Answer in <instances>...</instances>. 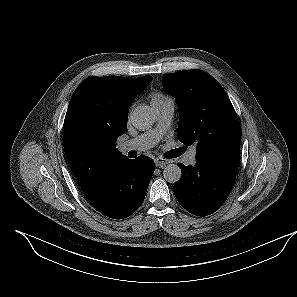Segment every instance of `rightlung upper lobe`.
Here are the masks:
<instances>
[{"label": "right lung upper lobe", "instance_id": "obj_1", "mask_svg": "<svg viewBox=\"0 0 297 297\" xmlns=\"http://www.w3.org/2000/svg\"><path fill=\"white\" fill-rule=\"evenodd\" d=\"M151 76L89 77L74 91L64 120L63 143L69 166L87 198L93 197L116 161L118 136L127 129L128 110Z\"/></svg>", "mask_w": 297, "mask_h": 297}]
</instances>
